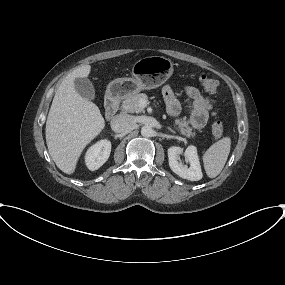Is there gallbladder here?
Instances as JSON below:
<instances>
[{
	"instance_id": "obj_1",
	"label": "gallbladder",
	"mask_w": 285,
	"mask_h": 285,
	"mask_svg": "<svg viewBox=\"0 0 285 285\" xmlns=\"http://www.w3.org/2000/svg\"><path fill=\"white\" fill-rule=\"evenodd\" d=\"M74 86L77 93L87 100H93L95 98V90L92 82L88 78H76L74 80Z\"/></svg>"
}]
</instances>
